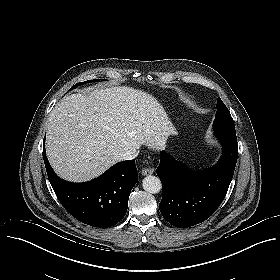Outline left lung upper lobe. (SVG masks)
<instances>
[{"instance_id": "1", "label": "left lung upper lobe", "mask_w": 280, "mask_h": 280, "mask_svg": "<svg viewBox=\"0 0 280 280\" xmlns=\"http://www.w3.org/2000/svg\"><path fill=\"white\" fill-rule=\"evenodd\" d=\"M213 128L214 135L218 139L237 141L233 119L220 98L217 101V112L213 122Z\"/></svg>"}]
</instances>
